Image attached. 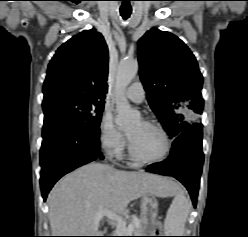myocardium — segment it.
Returning <instances> with one entry per match:
<instances>
[{
	"mask_svg": "<svg viewBox=\"0 0 248 237\" xmlns=\"http://www.w3.org/2000/svg\"><path fill=\"white\" fill-rule=\"evenodd\" d=\"M142 122L148 126L155 128L162 135L164 142H165V148H164V151L162 152V154L159 155L158 157L145 158V157L140 156L136 152V150L134 149V147H133V145L129 139L128 150H129V154H130L131 158L137 162L144 163V164H153V163H158V162L165 160L168 157V155L170 154V151L172 148V143H171V140H170V137H169L167 131L160 123H158L154 120L143 119Z\"/></svg>",
	"mask_w": 248,
	"mask_h": 237,
	"instance_id": "f54148a6",
	"label": "myocardium"
}]
</instances>
